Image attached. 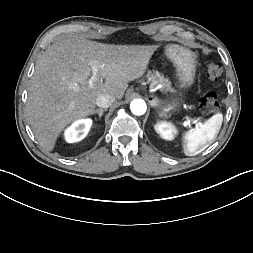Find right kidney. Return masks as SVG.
Listing matches in <instances>:
<instances>
[{
    "label": "right kidney",
    "mask_w": 253,
    "mask_h": 253,
    "mask_svg": "<svg viewBox=\"0 0 253 253\" xmlns=\"http://www.w3.org/2000/svg\"><path fill=\"white\" fill-rule=\"evenodd\" d=\"M92 125L91 119L78 120L72 124L65 132L66 141L69 143H74L81 141L87 135Z\"/></svg>",
    "instance_id": "1"
}]
</instances>
